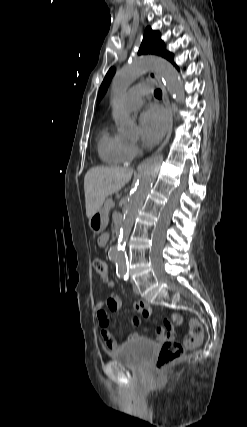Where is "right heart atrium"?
Returning <instances> with one entry per match:
<instances>
[{
	"instance_id": "d8ad5b80",
	"label": "right heart atrium",
	"mask_w": 247,
	"mask_h": 427,
	"mask_svg": "<svg viewBox=\"0 0 247 427\" xmlns=\"http://www.w3.org/2000/svg\"><path fill=\"white\" fill-rule=\"evenodd\" d=\"M129 151L131 156H134L138 153V146L135 143H129Z\"/></svg>"
}]
</instances>
